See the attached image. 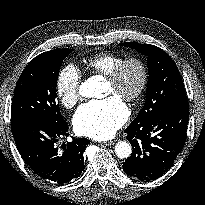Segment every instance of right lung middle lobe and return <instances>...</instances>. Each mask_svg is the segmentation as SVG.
<instances>
[{
  "instance_id": "dd1d6c3e",
  "label": "right lung middle lobe",
  "mask_w": 205,
  "mask_h": 205,
  "mask_svg": "<svg viewBox=\"0 0 205 205\" xmlns=\"http://www.w3.org/2000/svg\"><path fill=\"white\" fill-rule=\"evenodd\" d=\"M72 49H55L36 56L23 70L14 92L11 119L37 118L53 124L64 122L56 103L60 66Z\"/></svg>"
}]
</instances>
